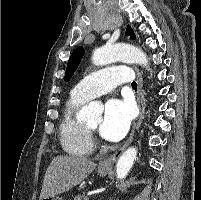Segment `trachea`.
Returning a JSON list of instances; mask_svg holds the SVG:
<instances>
[{
	"instance_id": "obj_1",
	"label": "trachea",
	"mask_w": 201,
	"mask_h": 200,
	"mask_svg": "<svg viewBox=\"0 0 201 200\" xmlns=\"http://www.w3.org/2000/svg\"><path fill=\"white\" fill-rule=\"evenodd\" d=\"M131 86H132V88L137 89V83L135 81L132 82Z\"/></svg>"
}]
</instances>
